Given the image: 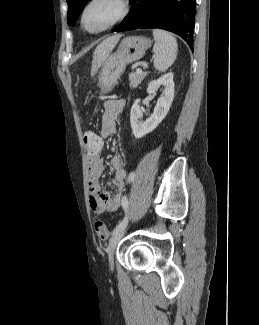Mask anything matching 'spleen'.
<instances>
[{
    "label": "spleen",
    "instance_id": "spleen-1",
    "mask_svg": "<svg viewBox=\"0 0 259 325\" xmlns=\"http://www.w3.org/2000/svg\"><path fill=\"white\" fill-rule=\"evenodd\" d=\"M153 37L155 44L154 52V67L160 72L166 71L175 61L177 56V41L176 38L169 32L154 29Z\"/></svg>",
    "mask_w": 259,
    "mask_h": 325
}]
</instances>
